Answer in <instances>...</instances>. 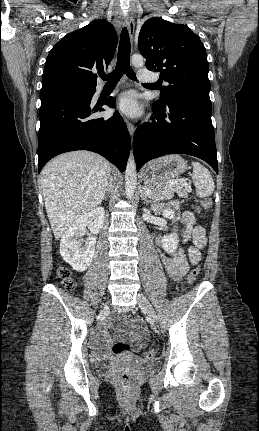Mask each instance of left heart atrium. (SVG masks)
<instances>
[{
	"label": "left heart atrium",
	"mask_w": 259,
	"mask_h": 431,
	"mask_svg": "<svg viewBox=\"0 0 259 431\" xmlns=\"http://www.w3.org/2000/svg\"><path fill=\"white\" fill-rule=\"evenodd\" d=\"M117 109L131 117L139 116L142 113L140 102L134 91H126L119 96Z\"/></svg>",
	"instance_id": "obj_1"
}]
</instances>
